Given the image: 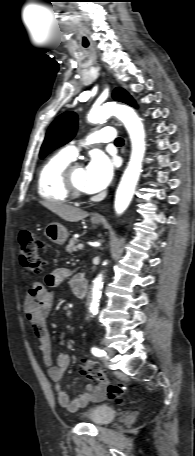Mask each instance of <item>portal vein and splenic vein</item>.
Returning <instances> with one entry per match:
<instances>
[{"label": "portal vein and splenic vein", "mask_w": 195, "mask_h": 456, "mask_svg": "<svg viewBox=\"0 0 195 456\" xmlns=\"http://www.w3.org/2000/svg\"><path fill=\"white\" fill-rule=\"evenodd\" d=\"M77 248H78L79 250H82V249L84 248V245L80 243V244H78Z\"/></svg>", "instance_id": "1"}]
</instances>
